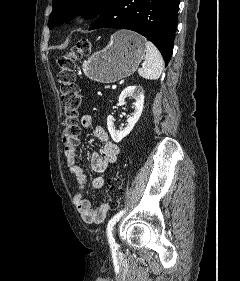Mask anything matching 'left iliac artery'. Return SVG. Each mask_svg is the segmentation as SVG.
<instances>
[{
  "instance_id": "44dca946",
  "label": "left iliac artery",
  "mask_w": 240,
  "mask_h": 281,
  "mask_svg": "<svg viewBox=\"0 0 240 281\" xmlns=\"http://www.w3.org/2000/svg\"><path fill=\"white\" fill-rule=\"evenodd\" d=\"M124 213H125V209L118 212L116 215H114L109 220L108 225H107V236H108V240H109V243H110V246H111L112 250H117V244L115 243V240L113 238L112 230H113V227H114L115 223L121 218V216Z\"/></svg>"
}]
</instances>
